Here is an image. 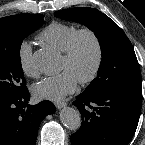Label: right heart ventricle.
Wrapping results in <instances>:
<instances>
[{
	"mask_svg": "<svg viewBox=\"0 0 145 145\" xmlns=\"http://www.w3.org/2000/svg\"><path fill=\"white\" fill-rule=\"evenodd\" d=\"M77 30L78 27L75 25L53 22L39 33L38 39L63 53Z\"/></svg>",
	"mask_w": 145,
	"mask_h": 145,
	"instance_id": "1",
	"label": "right heart ventricle"
}]
</instances>
